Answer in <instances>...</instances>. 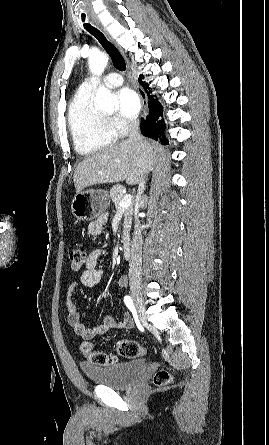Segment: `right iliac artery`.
I'll return each instance as SVG.
<instances>
[{"label": "right iliac artery", "mask_w": 269, "mask_h": 445, "mask_svg": "<svg viewBox=\"0 0 269 445\" xmlns=\"http://www.w3.org/2000/svg\"><path fill=\"white\" fill-rule=\"evenodd\" d=\"M124 303L131 311L135 310V307H134V304H133V300H132V298L130 296H125L124 297Z\"/></svg>", "instance_id": "obj_1"}]
</instances>
